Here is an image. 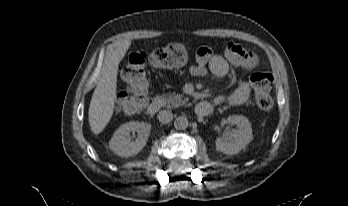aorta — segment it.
Here are the masks:
<instances>
[{
  "instance_id": "aorta-1",
  "label": "aorta",
  "mask_w": 348,
  "mask_h": 206,
  "mask_svg": "<svg viewBox=\"0 0 348 206\" xmlns=\"http://www.w3.org/2000/svg\"><path fill=\"white\" fill-rule=\"evenodd\" d=\"M189 125V121L185 116H179L174 121V126L178 130H185Z\"/></svg>"
}]
</instances>
